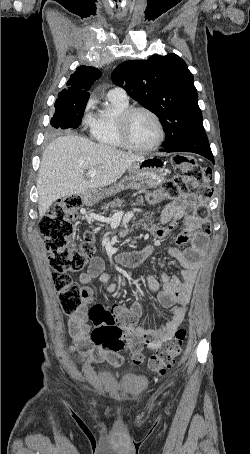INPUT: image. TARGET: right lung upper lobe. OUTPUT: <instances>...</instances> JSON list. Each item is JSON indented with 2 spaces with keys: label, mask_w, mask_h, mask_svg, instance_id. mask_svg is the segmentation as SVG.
<instances>
[{
  "label": "right lung upper lobe",
  "mask_w": 250,
  "mask_h": 454,
  "mask_svg": "<svg viewBox=\"0 0 250 454\" xmlns=\"http://www.w3.org/2000/svg\"><path fill=\"white\" fill-rule=\"evenodd\" d=\"M101 77V72L94 67L82 65L76 69L67 82V88L58 94L56 101L77 103L87 102L90 94L88 90L95 80Z\"/></svg>",
  "instance_id": "cb5924a9"
}]
</instances>
